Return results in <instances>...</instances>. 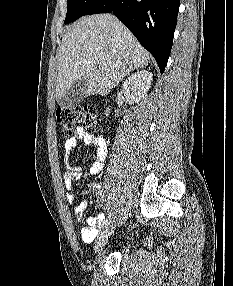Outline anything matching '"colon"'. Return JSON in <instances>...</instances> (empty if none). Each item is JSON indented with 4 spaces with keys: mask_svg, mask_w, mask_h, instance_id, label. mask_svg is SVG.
Listing matches in <instances>:
<instances>
[{
    "mask_svg": "<svg viewBox=\"0 0 233 286\" xmlns=\"http://www.w3.org/2000/svg\"><path fill=\"white\" fill-rule=\"evenodd\" d=\"M56 121L64 136H70L77 126L88 132H96L99 127L95 110L87 107L60 109L56 112Z\"/></svg>",
    "mask_w": 233,
    "mask_h": 286,
    "instance_id": "colon-1",
    "label": "colon"
}]
</instances>
